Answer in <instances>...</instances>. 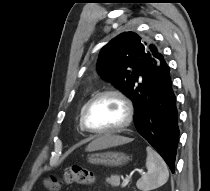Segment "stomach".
Segmentation results:
<instances>
[{"mask_svg":"<svg viewBox=\"0 0 210 191\" xmlns=\"http://www.w3.org/2000/svg\"><path fill=\"white\" fill-rule=\"evenodd\" d=\"M129 161V157L122 152H102L91 154L88 162L95 165L122 166Z\"/></svg>","mask_w":210,"mask_h":191,"instance_id":"0dacf381","label":"stomach"}]
</instances>
